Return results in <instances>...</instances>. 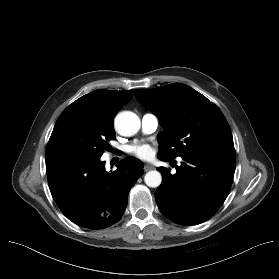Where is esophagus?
I'll return each instance as SVG.
<instances>
[{
    "mask_svg": "<svg viewBox=\"0 0 279 279\" xmlns=\"http://www.w3.org/2000/svg\"><path fill=\"white\" fill-rule=\"evenodd\" d=\"M152 169H154L153 166H151V165H149V164H145V165H144V171H145V172L150 171V170H152Z\"/></svg>",
    "mask_w": 279,
    "mask_h": 279,
    "instance_id": "1",
    "label": "esophagus"
}]
</instances>
